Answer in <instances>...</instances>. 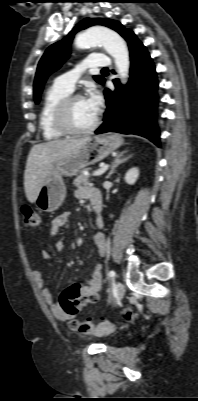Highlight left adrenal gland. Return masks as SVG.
<instances>
[{
    "mask_svg": "<svg viewBox=\"0 0 198 401\" xmlns=\"http://www.w3.org/2000/svg\"><path fill=\"white\" fill-rule=\"evenodd\" d=\"M126 152H127V151H123V152L119 153V154L115 157V159L113 160V162H112V164H111V170H110L109 174L106 176V179H109V178L111 177V175H112L113 173H115V171H116V169H117V167H118L119 165L125 163L126 161H128V160L132 157V155H129V156H127V157H124V154H125Z\"/></svg>",
    "mask_w": 198,
    "mask_h": 401,
    "instance_id": "obj_1",
    "label": "left adrenal gland"
}]
</instances>
